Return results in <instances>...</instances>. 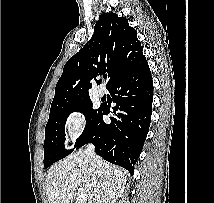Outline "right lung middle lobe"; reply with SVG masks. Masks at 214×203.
<instances>
[{"label":"right lung middle lobe","mask_w":214,"mask_h":203,"mask_svg":"<svg viewBox=\"0 0 214 203\" xmlns=\"http://www.w3.org/2000/svg\"><path fill=\"white\" fill-rule=\"evenodd\" d=\"M100 108L93 109L92 101L90 97H87L50 111L48 123L45 127L44 167H49L73 151V149H64L65 123L68 116L72 112H80L86 118V127L75 144V147H77L93 128Z\"/></svg>","instance_id":"right-lung-middle-lobe-1"}]
</instances>
